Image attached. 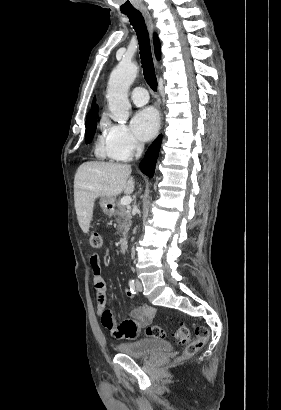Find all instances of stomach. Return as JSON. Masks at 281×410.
Returning a JSON list of instances; mask_svg holds the SVG:
<instances>
[{"label":"stomach","instance_id":"0dacf381","mask_svg":"<svg viewBox=\"0 0 281 410\" xmlns=\"http://www.w3.org/2000/svg\"><path fill=\"white\" fill-rule=\"evenodd\" d=\"M100 206L106 215L111 216L114 213L115 200L113 198L102 197Z\"/></svg>","mask_w":281,"mask_h":410}]
</instances>
